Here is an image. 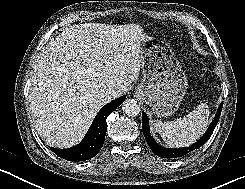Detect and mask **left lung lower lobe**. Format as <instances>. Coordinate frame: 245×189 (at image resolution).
Masks as SVG:
<instances>
[{
    "instance_id": "0a47b994",
    "label": "left lung lower lobe",
    "mask_w": 245,
    "mask_h": 189,
    "mask_svg": "<svg viewBox=\"0 0 245 189\" xmlns=\"http://www.w3.org/2000/svg\"><path fill=\"white\" fill-rule=\"evenodd\" d=\"M223 107V103L220 104L219 109L215 115L214 120L210 124L209 128L207 129L206 133L195 143H193L189 147L185 148H179V149H170V148H164L160 146L151 136L150 130H149V121L147 115L143 112L142 113V130L144 137L146 139V142L148 146L151 148V150L159 157L162 158H177L182 157L189 153L190 151H193L195 149L200 148L212 135L215 126L220 118L221 110Z\"/></svg>"
}]
</instances>
